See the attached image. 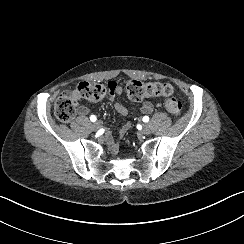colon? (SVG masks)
I'll list each match as a JSON object with an SVG mask.
<instances>
[{"label": "colon", "instance_id": "colon-1", "mask_svg": "<svg viewBox=\"0 0 244 244\" xmlns=\"http://www.w3.org/2000/svg\"><path fill=\"white\" fill-rule=\"evenodd\" d=\"M125 92L133 101L147 98H164L165 108L169 115L178 117L182 110L181 103L173 96V87L164 82H142L136 79L125 84ZM107 88L99 82H81L75 89L65 91L57 100L54 108L56 117L61 121H71L76 114L80 98L99 101L107 95Z\"/></svg>", "mask_w": 244, "mask_h": 244}]
</instances>
